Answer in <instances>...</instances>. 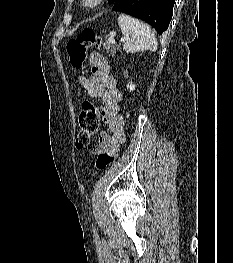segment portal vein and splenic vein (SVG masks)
<instances>
[{"mask_svg": "<svg viewBox=\"0 0 233 263\" xmlns=\"http://www.w3.org/2000/svg\"><path fill=\"white\" fill-rule=\"evenodd\" d=\"M109 43L114 44L115 43V39H114V34H111L109 37ZM126 40L124 38H121V42H125Z\"/></svg>", "mask_w": 233, "mask_h": 263, "instance_id": "obj_1", "label": "portal vein and splenic vein"}]
</instances>
